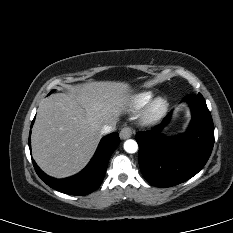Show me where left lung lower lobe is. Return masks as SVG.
Wrapping results in <instances>:
<instances>
[{"label":"left lung lower lobe","mask_w":233,"mask_h":233,"mask_svg":"<svg viewBox=\"0 0 233 233\" xmlns=\"http://www.w3.org/2000/svg\"><path fill=\"white\" fill-rule=\"evenodd\" d=\"M184 100L193 115L187 133L174 139L160 133L169 113L160 125L136 134L140 169L153 186L170 187L192 178L204 167L213 149L214 125L203 96L188 95Z\"/></svg>","instance_id":"0a47b994"}]
</instances>
